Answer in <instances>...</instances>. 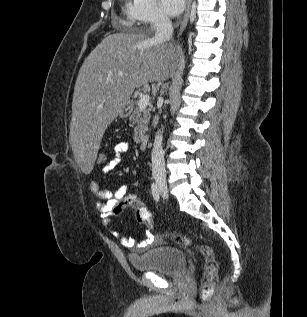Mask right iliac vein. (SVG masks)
<instances>
[{
	"mask_svg": "<svg viewBox=\"0 0 307 317\" xmlns=\"http://www.w3.org/2000/svg\"><path fill=\"white\" fill-rule=\"evenodd\" d=\"M155 181L164 197H167L168 195V188L166 184V179L164 176H156Z\"/></svg>",
	"mask_w": 307,
	"mask_h": 317,
	"instance_id": "right-iliac-vein-1",
	"label": "right iliac vein"
}]
</instances>
